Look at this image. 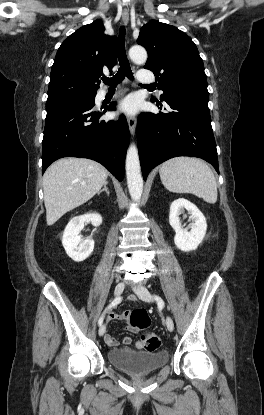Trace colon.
Here are the masks:
<instances>
[{
    "label": "colon",
    "instance_id": "obj_1",
    "mask_svg": "<svg viewBox=\"0 0 264 415\" xmlns=\"http://www.w3.org/2000/svg\"><path fill=\"white\" fill-rule=\"evenodd\" d=\"M130 324L140 330L143 331L142 333V345L143 349L146 351H155L160 346V339L159 337L151 332L148 331V327L150 326V317L144 310H134L129 315Z\"/></svg>",
    "mask_w": 264,
    "mask_h": 415
}]
</instances>
